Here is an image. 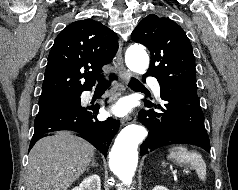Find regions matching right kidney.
Returning <instances> with one entry per match:
<instances>
[{"mask_svg":"<svg viewBox=\"0 0 238 190\" xmlns=\"http://www.w3.org/2000/svg\"><path fill=\"white\" fill-rule=\"evenodd\" d=\"M72 190H101V180L97 174L85 178L78 187Z\"/></svg>","mask_w":238,"mask_h":190,"instance_id":"1","label":"right kidney"}]
</instances>
